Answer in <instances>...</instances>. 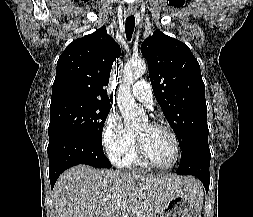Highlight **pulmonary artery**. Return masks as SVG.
<instances>
[{"label": "pulmonary artery", "instance_id": "pulmonary-artery-1", "mask_svg": "<svg viewBox=\"0 0 253 217\" xmlns=\"http://www.w3.org/2000/svg\"><path fill=\"white\" fill-rule=\"evenodd\" d=\"M132 94L136 99L144 103L148 108H152L153 95L150 84L145 80L136 82L132 89Z\"/></svg>", "mask_w": 253, "mask_h": 217}]
</instances>
